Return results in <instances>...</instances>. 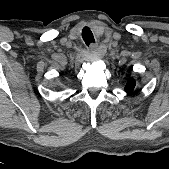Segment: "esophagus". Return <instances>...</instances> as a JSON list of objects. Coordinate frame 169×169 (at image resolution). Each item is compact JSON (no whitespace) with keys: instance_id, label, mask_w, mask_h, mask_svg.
I'll return each mask as SVG.
<instances>
[{"instance_id":"1","label":"esophagus","mask_w":169,"mask_h":169,"mask_svg":"<svg viewBox=\"0 0 169 169\" xmlns=\"http://www.w3.org/2000/svg\"><path fill=\"white\" fill-rule=\"evenodd\" d=\"M96 47V44L92 43L90 44V49L93 50Z\"/></svg>"}]
</instances>
